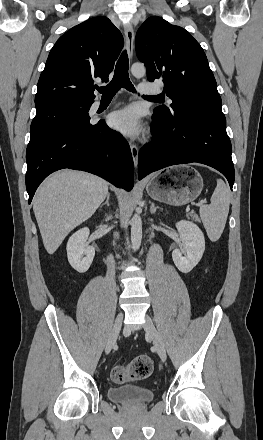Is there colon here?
Instances as JSON below:
<instances>
[{"instance_id": "colon-1", "label": "colon", "mask_w": 263, "mask_h": 440, "mask_svg": "<svg viewBox=\"0 0 263 440\" xmlns=\"http://www.w3.org/2000/svg\"><path fill=\"white\" fill-rule=\"evenodd\" d=\"M153 370V362L148 355H139L126 364L115 366L111 378L116 383H130L146 379Z\"/></svg>"}]
</instances>
